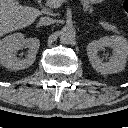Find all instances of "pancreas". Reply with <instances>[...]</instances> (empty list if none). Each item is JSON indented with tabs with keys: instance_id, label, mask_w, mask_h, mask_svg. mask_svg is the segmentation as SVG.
Instances as JSON below:
<instances>
[{
	"instance_id": "obj_1",
	"label": "pancreas",
	"mask_w": 128,
	"mask_h": 128,
	"mask_svg": "<svg viewBox=\"0 0 128 128\" xmlns=\"http://www.w3.org/2000/svg\"><path fill=\"white\" fill-rule=\"evenodd\" d=\"M80 1H81L82 6H83L84 12H89V13L93 12V9L90 7L89 0H80ZM99 24L107 31H112V32L117 33V34L121 33V31H119L115 25L109 24L108 22L100 21Z\"/></svg>"
}]
</instances>
